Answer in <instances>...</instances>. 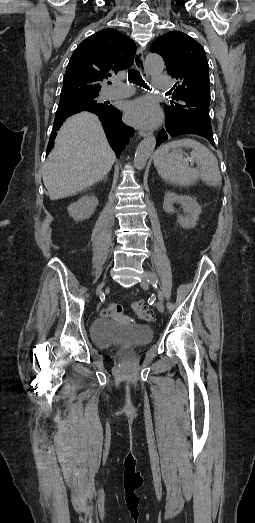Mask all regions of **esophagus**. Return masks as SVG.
Segmentation results:
<instances>
[{"mask_svg":"<svg viewBox=\"0 0 255 523\" xmlns=\"http://www.w3.org/2000/svg\"><path fill=\"white\" fill-rule=\"evenodd\" d=\"M134 64H135L137 70H140L142 73H145L144 56H143V51L141 50V48H138V50L136 51L135 58H134ZM139 135L141 137H148L149 135H151V131L140 130Z\"/></svg>","mask_w":255,"mask_h":523,"instance_id":"34e87169","label":"esophagus"}]
</instances>
